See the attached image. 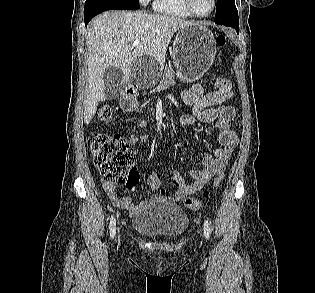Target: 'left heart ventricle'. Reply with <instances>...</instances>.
<instances>
[{
    "label": "left heart ventricle",
    "mask_w": 315,
    "mask_h": 293,
    "mask_svg": "<svg viewBox=\"0 0 315 293\" xmlns=\"http://www.w3.org/2000/svg\"><path fill=\"white\" fill-rule=\"evenodd\" d=\"M194 8L199 14H207L211 11L212 0H193Z\"/></svg>",
    "instance_id": "left-heart-ventricle-1"
}]
</instances>
